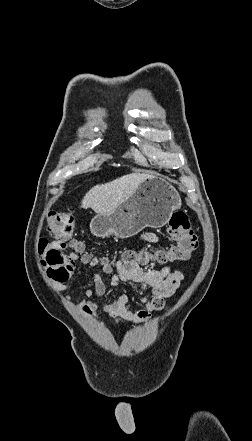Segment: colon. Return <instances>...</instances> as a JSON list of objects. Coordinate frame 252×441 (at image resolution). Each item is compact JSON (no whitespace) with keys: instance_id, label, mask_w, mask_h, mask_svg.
<instances>
[{"instance_id":"1","label":"colon","mask_w":252,"mask_h":441,"mask_svg":"<svg viewBox=\"0 0 252 441\" xmlns=\"http://www.w3.org/2000/svg\"><path fill=\"white\" fill-rule=\"evenodd\" d=\"M49 231L59 240H41L38 245L42 256V264L48 276L57 282L68 276V255L65 254L63 240L69 239L74 228L73 218L58 213H51L48 218ZM167 232L173 241L168 249L157 250L153 253L147 249H129L122 255V261L147 264L149 262L168 263L183 261L190 257L198 246L197 236L190 227L188 217L184 213H175L169 220ZM72 247L81 254L85 246L81 241H73Z\"/></svg>"}]
</instances>
